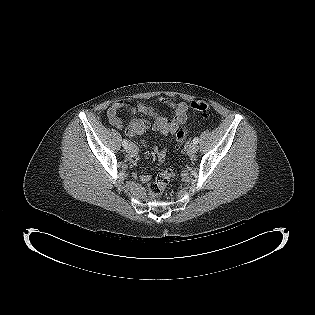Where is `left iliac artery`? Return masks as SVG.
<instances>
[{"label":"left iliac artery","mask_w":315,"mask_h":315,"mask_svg":"<svg viewBox=\"0 0 315 315\" xmlns=\"http://www.w3.org/2000/svg\"><path fill=\"white\" fill-rule=\"evenodd\" d=\"M198 142H199V138H198V137H195V138L193 139V143L198 144Z\"/></svg>","instance_id":"obj_1"}]
</instances>
